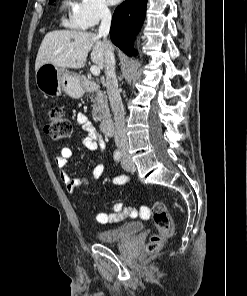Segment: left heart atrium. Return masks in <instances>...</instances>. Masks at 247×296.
I'll list each match as a JSON object with an SVG mask.
<instances>
[{"label": "left heart atrium", "instance_id": "1", "mask_svg": "<svg viewBox=\"0 0 247 296\" xmlns=\"http://www.w3.org/2000/svg\"><path fill=\"white\" fill-rule=\"evenodd\" d=\"M121 0H109V2L111 3V4H117L118 2H120Z\"/></svg>", "mask_w": 247, "mask_h": 296}]
</instances>
